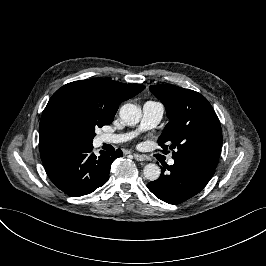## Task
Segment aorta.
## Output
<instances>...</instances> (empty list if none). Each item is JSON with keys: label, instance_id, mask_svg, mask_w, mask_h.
<instances>
[{"label": "aorta", "instance_id": "1", "mask_svg": "<svg viewBox=\"0 0 266 266\" xmlns=\"http://www.w3.org/2000/svg\"><path fill=\"white\" fill-rule=\"evenodd\" d=\"M120 118L126 125L133 126L140 122L142 111L140 106L125 104L120 109ZM144 177L149 181H155L160 177L161 169L155 163L147 164L143 169Z\"/></svg>", "mask_w": 266, "mask_h": 266}]
</instances>
